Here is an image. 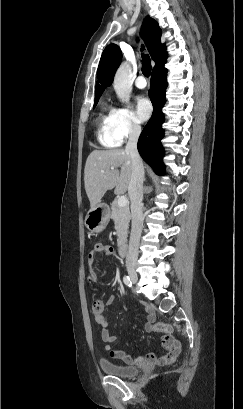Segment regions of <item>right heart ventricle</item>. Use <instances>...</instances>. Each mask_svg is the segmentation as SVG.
<instances>
[{
    "label": "right heart ventricle",
    "instance_id": "e07e8e85",
    "mask_svg": "<svg viewBox=\"0 0 243 409\" xmlns=\"http://www.w3.org/2000/svg\"><path fill=\"white\" fill-rule=\"evenodd\" d=\"M112 109L107 103L102 104V111L99 115V130H98V139L100 143L109 148L117 147L120 143L118 139L113 135L109 119Z\"/></svg>",
    "mask_w": 243,
    "mask_h": 409
}]
</instances>
